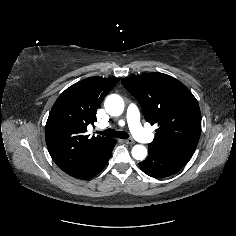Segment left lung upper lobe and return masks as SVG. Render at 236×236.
<instances>
[{
	"label": "left lung upper lobe",
	"instance_id": "obj_1",
	"mask_svg": "<svg viewBox=\"0 0 236 236\" xmlns=\"http://www.w3.org/2000/svg\"><path fill=\"white\" fill-rule=\"evenodd\" d=\"M121 83L136 97L146 121L159 126L149 148L194 153L201 133V113L184 84L163 73L127 77Z\"/></svg>",
	"mask_w": 236,
	"mask_h": 236
}]
</instances>
